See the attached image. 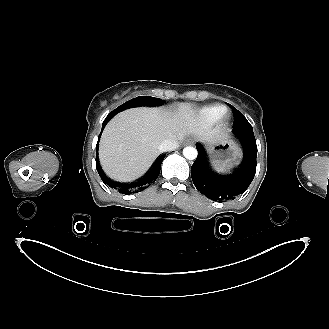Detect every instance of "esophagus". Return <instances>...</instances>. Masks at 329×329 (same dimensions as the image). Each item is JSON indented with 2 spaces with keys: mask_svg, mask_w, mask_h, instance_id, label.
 <instances>
[{
  "mask_svg": "<svg viewBox=\"0 0 329 329\" xmlns=\"http://www.w3.org/2000/svg\"><path fill=\"white\" fill-rule=\"evenodd\" d=\"M191 144H193V141L191 140V141H189Z\"/></svg>",
  "mask_w": 329,
  "mask_h": 329,
  "instance_id": "1",
  "label": "esophagus"
}]
</instances>
